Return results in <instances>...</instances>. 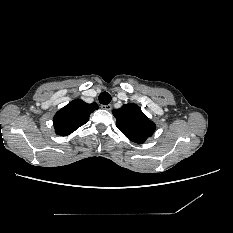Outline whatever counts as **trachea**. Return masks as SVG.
<instances>
[{"mask_svg":"<svg viewBox=\"0 0 233 233\" xmlns=\"http://www.w3.org/2000/svg\"><path fill=\"white\" fill-rule=\"evenodd\" d=\"M99 102L103 105H108L111 102V95L108 92H102L99 95Z\"/></svg>","mask_w":233,"mask_h":233,"instance_id":"3493384b","label":"trachea"}]
</instances>
